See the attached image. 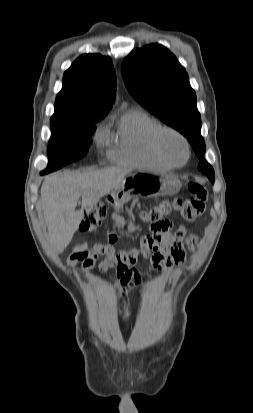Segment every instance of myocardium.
Segmentation results:
<instances>
[{"instance_id":"myocardium-1","label":"myocardium","mask_w":253,"mask_h":413,"mask_svg":"<svg viewBox=\"0 0 253 413\" xmlns=\"http://www.w3.org/2000/svg\"><path fill=\"white\" fill-rule=\"evenodd\" d=\"M167 135H173L177 137L183 143L185 150H186V158L182 163H177L173 161L171 157L168 155V153L166 152V149L164 146V139ZM153 146H154V149L157 155L163 161L169 164L171 167L178 168V167L185 166L188 163L190 156H191V147H190V144L187 138L180 131L172 127H168V126L159 127L153 136Z\"/></svg>"}]
</instances>
